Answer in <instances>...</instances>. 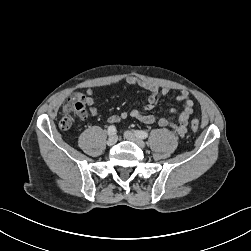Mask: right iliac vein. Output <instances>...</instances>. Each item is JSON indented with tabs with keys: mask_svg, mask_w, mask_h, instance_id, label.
<instances>
[{
	"mask_svg": "<svg viewBox=\"0 0 251 251\" xmlns=\"http://www.w3.org/2000/svg\"><path fill=\"white\" fill-rule=\"evenodd\" d=\"M118 138L116 135H112L108 138L107 144L108 146H112L117 142Z\"/></svg>",
	"mask_w": 251,
	"mask_h": 251,
	"instance_id": "1",
	"label": "right iliac vein"
}]
</instances>
